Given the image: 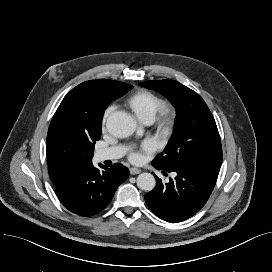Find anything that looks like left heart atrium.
<instances>
[{
    "label": "left heart atrium",
    "mask_w": 272,
    "mask_h": 272,
    "mask_svg": "<svg viewBox=\"0 0 272 272\" xmlns=\"http://www.w3.org/2000/svg\"><path fill=\"white\" fill-rule=\"evenodd\" d=\"M150 148H151L150 145H145V147H144L145 150H150ZM129 158H130L131 161L136 162V161H139L141 159V155H140L139 152L134 151V152H132L130 154Z\"/></svg>",
    "instance_id": "obj_1"
}]
</instances>
